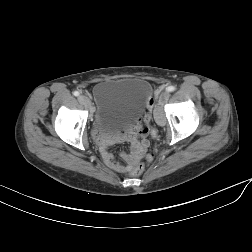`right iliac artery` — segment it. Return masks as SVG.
<instances>
[{
    "label": "right iliac artery",
    "instance_id": "82829eb1",
    "mask_svg": "<svg viewBox=\"0 0 252 252\" xmlns=\"http://www.w3.org/2000/svg\"><path fill=\"white\" fill-rule=\"evenodd\" d=\"M73 94L74 96H79L80 93L78 91H74Z\"/></svg>",
    "mask_w": 252,
    "mask_h": 252
}]
</instances>
